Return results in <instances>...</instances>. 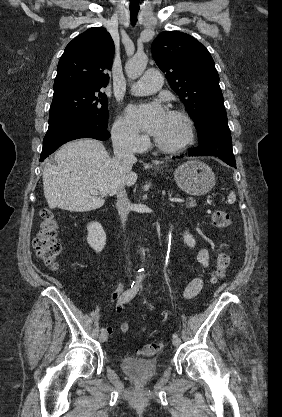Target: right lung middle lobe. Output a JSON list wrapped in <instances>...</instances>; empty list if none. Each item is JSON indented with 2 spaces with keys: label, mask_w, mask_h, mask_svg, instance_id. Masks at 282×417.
<instances>
[{
  "label": "right lung middle lobe",
  "mask_w": 282,
  "mask_h": 417,
  "mask_svg": "<svg viewBox=\"0 0 282 417\" xmlns=\"http://www.w3.org/2000/svg\"><path fill=\"white\" fill-rule=\"evenodd\" d=\"M101 88H75L54 92L50 107L49 123L70 117L86 116L106 125L108 101Z\"/></svg>",
  "instance_id": "right-lung-middle-lobe-1"
}]
</instances>
